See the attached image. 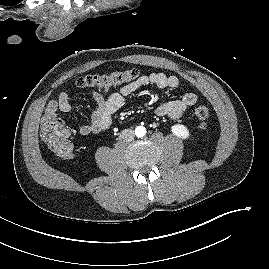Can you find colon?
Masks as SVG:
<instances>
[{"label": "colon", "mask_w": 269, "mask_h": 269, "mask_svg": "<svg viewBox=\"0 0 269 269\" xmlns=\"http://www.w3.org/2000/svg\"><path fill=\"white\" fill-rule=\"evenodd\" d=\"M138 77V70L130 69L103 75L84 76L79 78L75 85L80 89L104 91L131 83ZM209 114V108L206 104H201L195 109V117L200 129L207 127ZM41 136L51 150L58 156L67 158L72 155V146L67 138L66 129L59 118L45 116L41 122Z\"/></svg>", "instance_id": "colon-1"}]
</instances>
